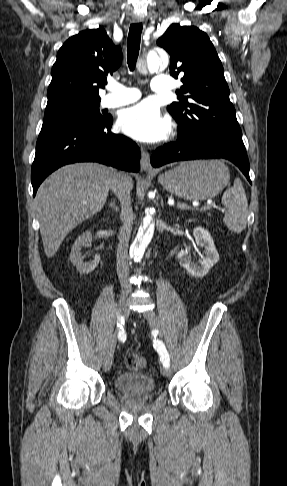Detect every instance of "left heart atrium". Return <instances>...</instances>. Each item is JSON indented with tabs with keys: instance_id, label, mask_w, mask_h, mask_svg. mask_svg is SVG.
<instances>
[{
	"instance_id": "39dd6f15",
	"label": "left heart atrium",
	"mask_w": 287,
	"mask_h": 486,
	"mask_svg": "<svg viewBox=\"0 0 287 486\" xmlns=\"http://www.w3.org/2000/svg\"><path fill=\"white\" fill-rule=\"evenodd\" d=\"M119 125L124 133L143 142L160 141L169 130L168 120L150 102H142L124 110L119 118Z\"/></svg>"
}]
</instances>
